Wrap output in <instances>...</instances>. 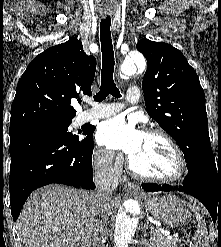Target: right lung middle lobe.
Returning a JSON list of instances; mask_svg holds the SVG:
<instances>
[{"label": "right lung middle lobe", "mask_w": 221, "mask_h": 247, "mask_svg": "<svg viewBox=\"0 0 221 247\" xmlns=\"http://www.w3.org/2000/svg\"><path fill=\"white\" fill-rule=\"evenodd\" d=\"M71 124V122H65V123H46V124H42V125H37L34 127H30V128H34V129H40V130H44L47 132H50L62 139H65L67 141H71V142H86L91 140V133H89V127L84 128L83 129V134L87 135L86 138L84 139H79L78 135H75L73 133H71L68 130L69 125Z\"/></svg>", "instance_id": "right-lung-middle-lobe-1"}]
</instances>
